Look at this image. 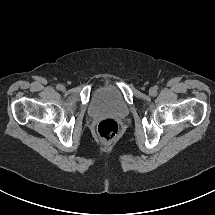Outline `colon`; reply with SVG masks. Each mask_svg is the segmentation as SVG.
Returning a JSON list of instances; mask_svg holds the SVG:
<instances>
[{"instance_id":"obj_1","label":"colon","mask_w":215,"mask_h":215,"mask_svg":"<svg viewBox=\"0 0 215 215\" xmlns=\"http://www.w3.org/2000/svg\"><path fill=\"white\" fill-rule=\"evenodd\" d=\"M97 133L103 142L109 143L117 137L119 125L113 119L102 120L97 126Z\"/></svg>"}]
</instances>
